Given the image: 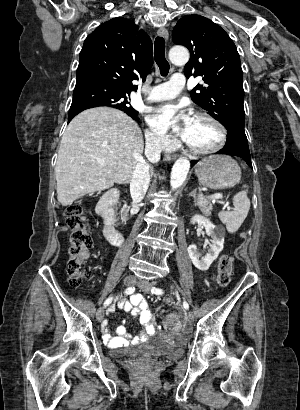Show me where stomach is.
Instances as JSON below:
<instances>
[{
    "label": "stomach",
    "instance_id": "1",
    "mask_svg": "<svg viewBox=\"0 0 300 410\" xmlns=\"http://www.w3.org/2000/svg\"><path fill=\"white\" fill-rule=\"evenodd\" d=\"M195 173L201 185L211 189H224L237 184L241 179V169L228 156H210L197 164Z\"/></svg>",
    "mask_w": 300,
    "mask_h": 410
}]
</instances>
